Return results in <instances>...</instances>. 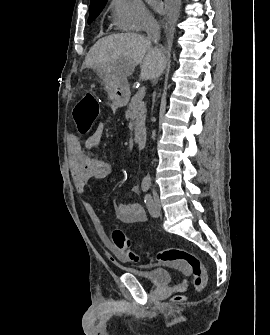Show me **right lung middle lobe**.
<instances>
[{
	"label": "right lung middle lobe",
	"instance_id": "obj_1",
	"mask_svg": "<svg viewBox=\"0 0 270 335\" xmlns=\"http://www.w3.org/2000/svg\"><path fill=\"white\" fill-rule=\"evenodd\" d=\"M105 3L90 5L88 23L90 24L103 10Z\"/></svg>",
	"mask_w": 270,
	"mask_h": 335
}]
</instances>
